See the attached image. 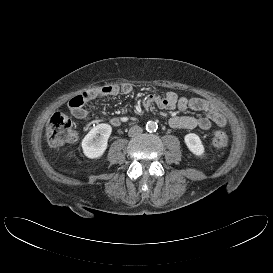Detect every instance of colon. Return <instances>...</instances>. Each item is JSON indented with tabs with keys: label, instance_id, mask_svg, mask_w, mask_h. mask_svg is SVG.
<instances>
[{
	"label": "colon",
	"instance_id": "5ec220e1",
	"mask_svg": "<svg viewBox=\"0 0 273 273\" xmlns=\"http://www.w3.org/2000/svg\"><path fill=\"white\" fill-rule=\"evenodd\" d=\"M85 97L86 94H82L71 99L73 106L82 105ZM45 137L52 146H60L75 140L76 132L72 120L61 111L54 112L46 126ZM229 143V138L222 131H216L212 136V144L217 148H226Z\"/></svg>",
	"mask_w": 273,
	"mask_h": 273
}]
</instances>
